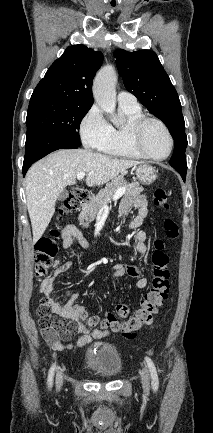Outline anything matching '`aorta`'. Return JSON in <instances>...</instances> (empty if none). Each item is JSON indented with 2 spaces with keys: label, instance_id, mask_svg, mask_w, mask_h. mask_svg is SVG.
Listing matches in <instances>:
<instances>
[{
  "label": "aorta",
  "instance_id": "aorta-1",
  "mask_svg": "<svg viewBox=\"0 0 213 433\" xmlns=\"http://www.w3.org/2000/svg\"><path fill=\"white\" fill-rule=\"evenodd\" d=\"M117 74L114 67L105 66L96 75L93 84V95L98 106L107 114H110L114 124L119 123V119L114 116L116 107V86Z\"/></svg>",
  "mask_w": 213,
  "mask_h": 433
}]
</instances>
